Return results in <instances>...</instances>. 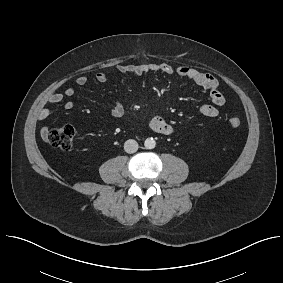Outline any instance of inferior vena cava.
Returning a JSON list of instances; mask_svg holds the SVG:
<instances>
[{"instance_id": "inferior-vena-cava-1", "label": "inferior vena cava", "mask_w": 283, "mask_h": 283, "mask_svg": "<svg viewBox=\"0 0 283 283\" xmlns=\"http://www.w3.org/2000/svg\"><path fill=\"white\" fill-rule=\"evenodd\" d=\"M138 147V143L133 139H129L124 143V150L129 154L135 153Z\"/></svg>"}]
</instances>
